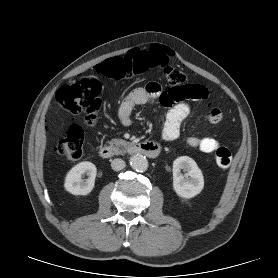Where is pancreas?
<instances>
[{
	"instance_id": "obj_1",
	"label": "pancreas",
	"mask_w": 278,
	"mask_h": 278,
	"mask_svg": "<svg viewBox=\"0 0 278 278\" xmlns=\"http://www.w3.org/2000/svg\"><path fill=\"white\" fill-rule=\"evenodd\" d=\"M109 144L111 148H113L116 151L117 154H120L122 153L120 148L126 147L128 145V142H126L123 139H112L109 141Z\"/></svg>"
}]
</instances>
